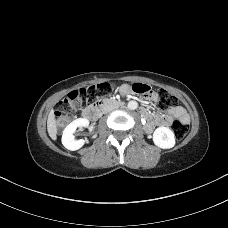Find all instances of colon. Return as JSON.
<instances>
[{
	"label": "colon",
	"mask_w": 228,
	"mask_h": 228,
	"mask_svg": "<svg viewBox=\"0 0 228 228\" xmlns=\"http://www.w3.org/2000/svg\"><path fill=\"white\" fill-rule=\"evenodd\" d=\"M111 88L109 83H100L87 88H81L70 92L66 98L59 102L55 111L54 119L58 126H64L71 120L72 113L76 107L84 106L93 102L98 95H102ZM134 93L150 96L153 91L150 86L143 83H134L132 85ZM176 98L165 90L158 92V105L166 110L174 107ZM174 135L177 139H183L188 133V126L182 121L176 120L172 124Z\"/></svg>",
	"instance_id": "1"
}]
</instances>
